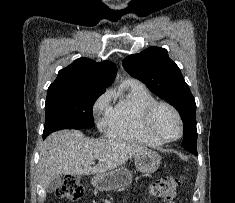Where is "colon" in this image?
I'll return each mask as SVG.
<instances>
[{
    "label": "colon",
    "instance_id": "5ec220e1",
    "mask_svg": "<svg viewBox=\"0 0 235 203\" xmlns=\"http://www.w3.org/2000/svg\"><path fill=\"white\" fill-rule=\"evenodd\" d=\"M182 180L183 177H161L151 185L150 193L164 201H171L176 197ZM56 195L76 201L83 197L84 189L77 176L66 175L63 177L61 185L57 187Z\"/></svg>",
    "mask_w": 235,
    "mask_h": 203
}]
</instances>
